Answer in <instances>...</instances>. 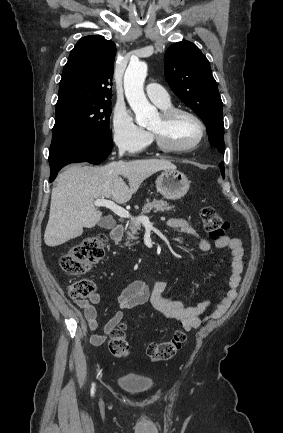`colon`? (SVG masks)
Segmentation results:
<instances>
[{"label": "colon", "instance_id": "colon-1", "mask_svg": "<svg viewBox=\"0 0 283 433\" xmlns=\"http://www.w3.org/2000/svg\"><path fill=\"white\" fill-rule=\"evenodd\" d=\"M201 222L204 230L212 239H220L228 230L229 224L211 206L202 208ZM106 238L102 234L85 238L71 247L60 259L61 268L68 274L79 276L89 271L93 264L104 255ZM95 285L89 279H80L69 287V295L73 299H86L94 292ZM186 335L177 330L166 341L150 342L146 346V354L152 361L169 360L180 350ZM108 347L110 353L116 358H126L130 354V346L126 337L124 324L117 326L110 334Z\"/></svg>", "mask_w": 283, "mask_h": 433}]
</instances>
